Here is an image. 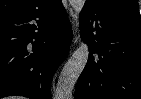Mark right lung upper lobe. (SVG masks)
Here are the masks:
<instances>
[{"label": "right lung upper lobe", "mask_w": 141, "mask_h": 99, "mask_svg": "<svg viewBox=\"0 0 141 99\" xmlns=\"http://www.w3.org/2000/svg\"><path fill=\"white\" fill-rule=\"evenodd\" d=\"M49 1L51 0H0V18L37 9Z\"/></svg>", "instance_id": "right-lung-upper-lobe-1"}]
</instances>
